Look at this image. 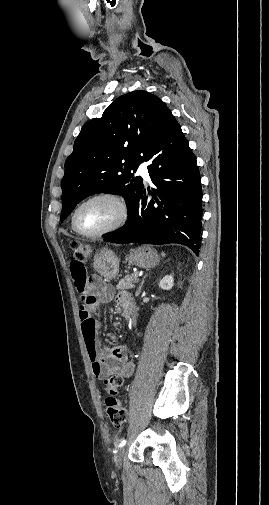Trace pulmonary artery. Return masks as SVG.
Segmentation results:
<instances>
[{
  "label": "pulmonary artery",
  "instance_id": "pulmonary-artery-1",
  "mask_svg": "<svg viewBox=\"0 0 269 505\" xmlns=\"http://www.w3.org/2000/svg\"><path fill=\"white\" fill-rule=\"evenodd\" d=\"M137 174L140 175L144 180H149V172L146 163H141L138 167Z\"/></svg>",
  "mask_w": 269,
  "mask_h": 505
}]
</instances>
